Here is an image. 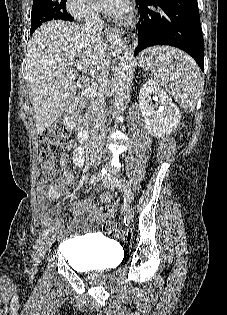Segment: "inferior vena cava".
I'll use <instances>...</instances> for the list:
<instances>
[{
	"mask_svg": "<svg viewBox=\"0 0 227 315\" xmlns=\"http://www.w3.org/2000/svg\"><path fill=\"white\" fill-rule=\"evenodd\" d=\"M85 30L93 34L95 38H100L102 30V20L96 8L88 7L85 12ZM97 91L92 97V125L90 131V155H96L103 148V137L105 133V92L108 86L106 70L102 69L97 76Z\"/></svg>",
	"mask_w": 227,
	"mask_h": 315,
	"instance_id": "obj_1",
	"label": "inferior vena cava"
}]
</instances>
